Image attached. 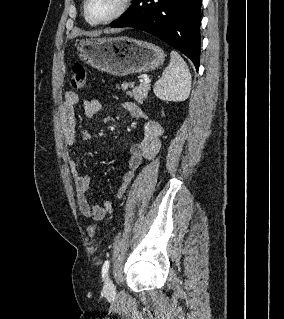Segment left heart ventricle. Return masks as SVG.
<instances>
[{
	"instance_id": "obj_1",
	"label": "left heart ventricle",
	"mask_w": 284,
	"mask_h": 319,
	"mask_svg": "<svg viewBox=\"0 0 284 319\" xmlns=\"http://www.w3.org/2000/svg\"><path fill=\"white\" fill-rule=\"evenodd\" d=\"M120 0H89L88 13L94 20H103L117 9Z\"/></svg>"
}]
</instances>
